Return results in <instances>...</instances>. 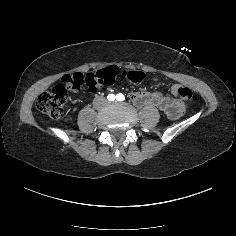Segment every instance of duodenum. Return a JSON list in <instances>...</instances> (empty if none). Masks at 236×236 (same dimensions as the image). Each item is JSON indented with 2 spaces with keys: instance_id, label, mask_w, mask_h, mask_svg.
Instances as JSON below:
<instances>
[{
  "instance_id": "obj_1",
  "label": "duodenum",
  "mask_w": 236,
  "mask_h": 236,
  "mask_svg": "<svg viewBox=\"0 0 236 236\" xmlns=\"http://www.w3.org/2000/svg\"><path fill=\"white\" fill-rule=\"evenodd\" d=\"M133 100L139 106L155 104L171 118H175L183 111V105L179 101L153 93H137Z\"/></svg>"
}]
</instances>
